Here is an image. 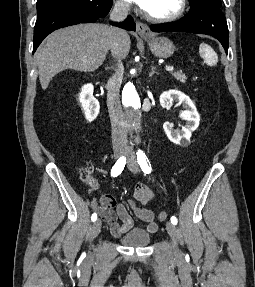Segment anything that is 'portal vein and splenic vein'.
Here are the masks:
<instances>
[{"label": "portal vein and splenic vein", "mask_w": 255, "mask_h": 287, "mask_svg": "<svg viewBox=\"0 0 255 287\" xmlns=\"http://www.w3.org/2000/svg\"><path fill=\"white\" fill-rule=\"evenodd\" d=\"M166 70H168V72H173V66H166Z\"/></svg>", "instance_id": "portal-vein-and-splenic-vein-1"}]
</instances>
